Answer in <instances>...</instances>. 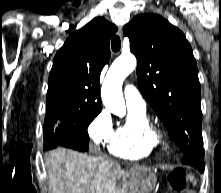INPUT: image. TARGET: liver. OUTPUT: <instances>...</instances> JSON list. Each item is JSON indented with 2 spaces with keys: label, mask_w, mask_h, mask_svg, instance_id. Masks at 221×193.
I'll return each instance as SVG.
<instances>
[{
  "label": "liver",
  "mask_w": 221,
  "mask_h": 193,
  "mask_svg": "<svg viewBox=\"0 0 221 193\" xmlns=\"http://www.w3.org/2000/svg\"><path fill=\"white\" fill-rule=\"evenodd\" d=\"M45 166L51 193H116L113 181L120 166L101 153L56 148L46 155Z\"/></svg>",
  "instance_id": "1"
}]
</instances>
